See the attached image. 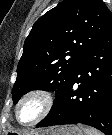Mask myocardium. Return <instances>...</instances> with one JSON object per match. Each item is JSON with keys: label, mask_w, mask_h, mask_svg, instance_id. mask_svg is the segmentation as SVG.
Wrapping results in <instances>:
<instances>
[{"label": "myocardium", "mask_w": 112, "mask_h": 135, "mask_svg": "<svg viewBox=\"0 0 112 135\" xmlns=\"http://www.w3.org/2000/svg\"><path fill=\"white\" fill-rule=\"evenodd\" d=\"M30 98H37L41 102V111L38 116L28 123H22L18 118V110L20 106ZM54 105V98L50 91L43 89V88H34L27 92H25L17 101L15 108H14V116L18 124L24 127H32L43 119H45L49 113L51 112Z\"/></svg>", "instance_id": "obj_1"}]
</instances>
